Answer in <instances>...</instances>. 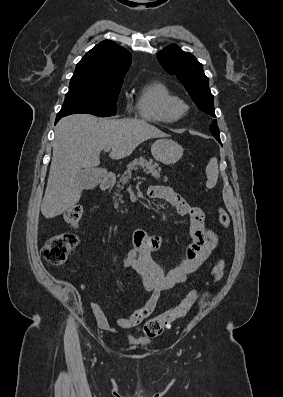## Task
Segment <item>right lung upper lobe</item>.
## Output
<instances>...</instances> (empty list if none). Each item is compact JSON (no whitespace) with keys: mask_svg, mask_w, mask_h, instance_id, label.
<instances>
[{"mask_svg":"<svg viewBox=\"0 0 283 397\" xmlns=\"http://www.w3.org/2000/svg\"><path fill=\"white\" fill-rule=\"evenodd\" d=\"M131 59V54L126 49L105 40L85 54L77 64L74 75L101 80L123 79Z\"/></svg>","mask_w":283,"mask_h":397,"instance_id":"obj_1","label":"right lung upper lobe"}]
</instances>
